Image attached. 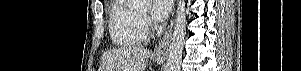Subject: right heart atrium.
Wrapping results in <instances>:
<instances>
[{"label":"right heart atrium","instance_id":"obj_1","mask_svg":"<svg viewBox=\"0 0 301 71\" xmlns=\"http://www.w3.org/2000/svg\"><path fill=\"white\" fill-rule=\"evenodd\" d=\"M143 20H144V23L146 24V26H148V27L152 26V21L147 16H145Z\"/></svg>","mask_w":301,"mask_h":71}]
</instances>
